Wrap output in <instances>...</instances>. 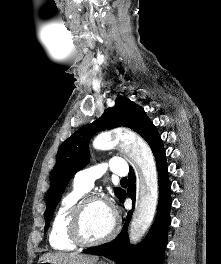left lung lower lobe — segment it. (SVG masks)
<instances>
[{
  "label": "left lung lower lobe",
  "mask_w": 221,
  "mask_h": 264,
  "mask_svg": "<svg viewBox=\"0 0 221 264\" xmlns=\"http://www.w3.org/2000/svg\"><path fill=\"white\" fill-rule=\"evenodd\" d=\"M155 155L159 175V201L157 215L153 226L145 239L136 246L129 244L127 234L128 224L132 212L127 213L126 221L122 231L116 239L110 243L89 248L83 252L102 255L116 262L117 264H162L164 249L167 244V230L170 225L171 187L168 178V165L162 141L153 151ZM129 196L135 202V174L133 169L129 172V185L127 193L124 192L121 201Z\"/></svg>",
  "instance_id": "obj_1"
}]
</instances>
